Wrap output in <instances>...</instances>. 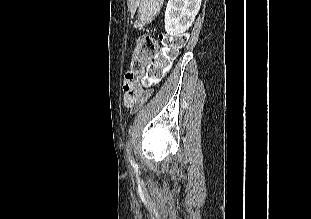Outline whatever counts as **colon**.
<instances>
[{
    "label": "colon",
    "instance_id": "obj_1",
    "mask_svg": "<svg viewBox=\"0 0 311 219\" xmlns=\"http://www.w3.org/2000/svg\"><path fill=\"white\" fill-rule=\"evenodd\" d=\"M184 35L163 37L165 49L158 51V42L150 36H142L138 39L133 59L132 72H139L146 62H149L146 73V82H157L165 73L166 68L172 63L178 51L185 43Z\"/></svg>",
    "mask_w": 311,
    "mask_h": 219
}]
</instances>
